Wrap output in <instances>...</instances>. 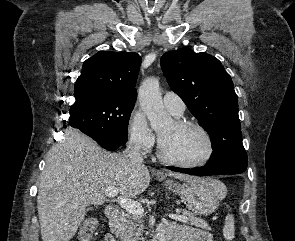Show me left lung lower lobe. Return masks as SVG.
<instances>
[{"mask_svg":"<svg viewBox=\"0 0 295 241\" xmlns=\"http://www.w3.org/2000/svg\"><path fill=\"white\" fill-rule=\"evenodd\" d=\"M168 169L172 171H177V172H182L186 174H191V175H198V176H207V175H225V174H239L244 171L242 170H236L224 166H209L205 165L199 168H177V167H172L168 166Z\"/></svg>","mask_w":295,"mask_h":241,"instance_id":"obj_1","label":"left lung lower lobe"}]
</instances>
